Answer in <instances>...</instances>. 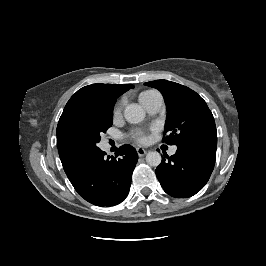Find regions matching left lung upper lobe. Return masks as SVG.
Masks as SVG:
<instances>
[{"label": "left lung upper lobe", "instance_id": "obj_1", "mask_svg": "<svg viewBox=\"0 0 266 266\" xmlns=\"http://www.w3.org/2000/svg\"><path fill=\"white\" fill-rule=\"evenodd\" d=\"M145 85L158 89L167 106L163 142L170 145L217 144L214 117L206 102L181 84L156 80Z\"/></svg>", "mask_w": 266, "mask_h": 266}]
</instances>
